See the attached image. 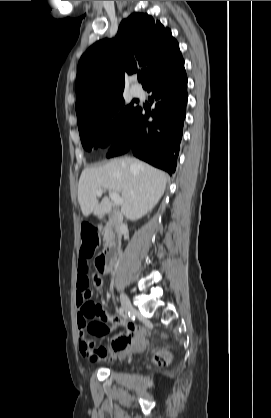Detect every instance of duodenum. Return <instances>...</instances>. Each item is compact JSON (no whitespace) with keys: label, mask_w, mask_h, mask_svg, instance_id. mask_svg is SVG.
Wrapping results in <instances>:
<instances>
[{"label":"duodenum","mask_w":271,"mask_h":418,"mask_svg":"<svg viewBox=\"0 0 271 418\" xmlns=\"http://www.w3.org/2000/svg\"><path fill=\"white\" fill-rule=\"evenodd\" d=\"M106 217V243L102 254L98 258L99 268L103 272H106L115 263L120 250L121 239L125 233V227L116 212H112Z\"/></svg>","instance_id":"410a0bca"}]
</instances>
